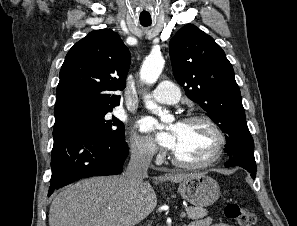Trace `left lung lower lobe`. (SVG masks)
<instances>
[{"mask_svg": "<svg viewBox=\"0 0 297 226\" xmlns=\"http://www.w3.org/2000/svg\"><path fill=\"white\" fill-rule=\"evenodd\" d=\"M240 166L251 173V177L255 179L256 177V163L255 158L252 155L247 156H236L230 157V159L225 163V167Z\"/></svg>", "mask_w": 297, "mask_h": 226, "instance_id": "0a47b994", "label": "left lung lower lobe"}]
</instances>
